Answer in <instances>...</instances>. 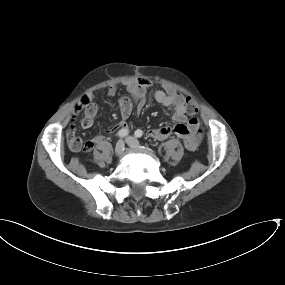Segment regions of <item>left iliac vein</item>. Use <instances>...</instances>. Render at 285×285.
I'll return each mask as SVG.
<instances>
[{
  "mask_svg": "<svg viewBox=\"0 0 285 285\" xmlns=\"http://www.w3.org/2000/svg\"><path fill=\"white\" fill-rule=\"evenodd\" d=\"M125 141L131 147H140L139 141L135 137L128 136Z\"/></svg>",
  "mask_w": 285,
  "mask_h": 285,
  "instance_id": "obj_1",
  "label": "left iliac vein"
}]
</instances>
